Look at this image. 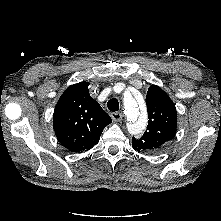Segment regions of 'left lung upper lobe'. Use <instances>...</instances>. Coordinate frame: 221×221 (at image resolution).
Instances as JSON below:
<instances>
[{
  "label": "left lung upper lobe",
  "mask_w": 221,
  "mask_h": 221,
  "mask_svg": "<svg viewBox=\"0 0 221 221\" xmlns=\"http://www.w3.org/2000/svg\"><path fill=\"white\" fill-rule=\"evenodd\" d=\"M148 126L139 139L132 138V147L136 151L157 153L176 134L177 112L170 97L158 86L151 85L146 96Z\"/></svg>",
  "instance_id": "5c2ea615"
}]
</instances>
